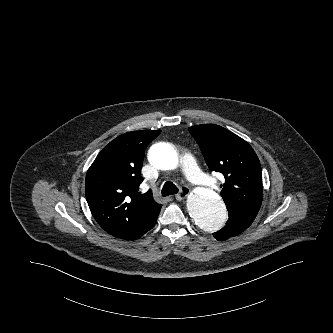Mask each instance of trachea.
I'll use <instances>...</instances> for the list:
<instances>
[{"mask_svg": "<svg viewBox=\"0 0 333 333\" xmlns=\"http://www.w3.org/2000/svg\"><path fill=\"white\" fill-rule=\"evenodd\" d=\"M179 191L176 185H174L172 182H165L162 188V196H168L172 194H176Z\"/></svg>", "mask_w": 333, "mask_h": 333, "instance_id": "trachea-1", "label": "trachea"}]
</instances>
